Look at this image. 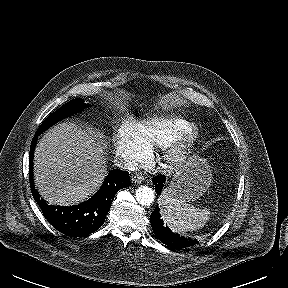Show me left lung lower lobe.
Masks as SVG:
<instances>
[{"label":"left lung lower lobe","mask_w":288,"mask_h":288,"mask_svg":"<svg viewBox=\"0 0 288 288\" xmlns=\"http://www.w3.org/2000/svg\"><path fill=\"white\" fill-rule=\"evenodd\" d=\"M165 180L166 177L164 175L154 177L152 180L155 184V191L158 195H160V192L162 191ZM150 222L155 236L172 249H183L198 243V241L189 237H180V235L174 234L167 226L165 227L158 206H156L155 210L152 212Z\"/></svg>","instance_id":"1"}]
</instances>
